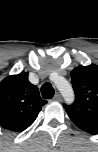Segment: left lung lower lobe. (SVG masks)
I'll return each mask as SVG.
<instances>
[{
  "mask_svg": "<svg viewBox=\"0 0 98 152\" xmlns=\"http://www.w3.org/2000/svg\"><path fill=\"white\" fill-rule=\"evenodd\" d=\"M90 134H97L98 133V130H93V129H82Z\"/></svg>",
  "mask_w": 98,
  "mask_h": 152,
  "instance_id": "left-lung-lower-lobe-1",
  "label": "left lung lower lobe"
}]
</instances>
